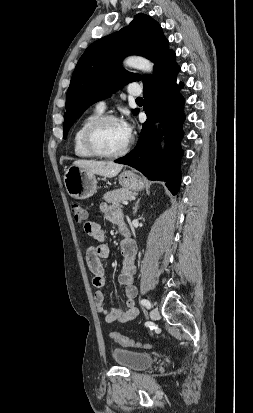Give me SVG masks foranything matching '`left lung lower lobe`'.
Segmentation results:
<instances>
[{
	"mask_svg": "<svg viewBox=\"0 0 253 413\" xmlns=\"http://www.w3.org/2000/svg\"><path fill=\"white\" fill-rule=\"evenodd\" d=\"M174 61L175 53L172 51L157 73L143 84V109L147 120L142 125L141 136L135 149L115 160L139 170L150 180L167 182L166 186L172 194L179 190L181 180L179 165L183 151L179 144L183 137L181 125L185 119L184 99L178 94L183 84L181 83L180 87L176 84V74L180 69ZM156 119L165 123L167 140L163 154L157 139L159 131H155L153 125Z\"/></svg>",
	"mask_w": 253,
	"mask_h": 413,
	"instance_id": "obj_1",
	"label": "left lung lower lobe"
}]
</instances>
